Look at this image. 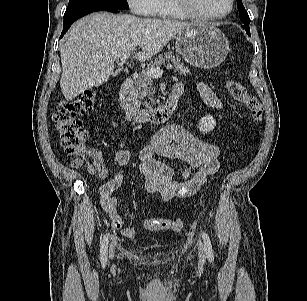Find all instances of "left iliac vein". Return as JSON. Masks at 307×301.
I'll return each mask as SVG.
<instances>
[{"label":"left iliac vein","mask_w":307,"mask_h":301,"mask_svg":"<svg viewBox=\"0 0 307 301\" xmlns=\"http://www.w3.org/2000/svg\"><path fill=\"white\" fill-rule=\"evenodd\" d=\"M197 245H198L199 258L201 261H204L205 255H204L203 244L201 243V241H198Z\"/></svg>","instance_id":"obj_1"}]
</instances>
